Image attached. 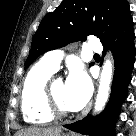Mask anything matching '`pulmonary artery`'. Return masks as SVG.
Segmentation results:
<instances>
[{
  "instance_id": "obj_1",
  "label": "pulmonary artery",
  "mask_w": 136,
  "mask_h": 136,
  "mask_svg": "<svg viewBox=\"0 0 136 136\" xmlns=\"http://www.w3.org/2000/svg\"><path fill=\"white\" fill-rule=\"evenodd\" d=\"M88 48L96 53L102 51V44L96 38H91L88 42ZM63 58V51L61 50H52L47 52L43 58L42 63L49 67L51 70L56 71L60 65V62Z\"/></svg>"
}]
</instances>
